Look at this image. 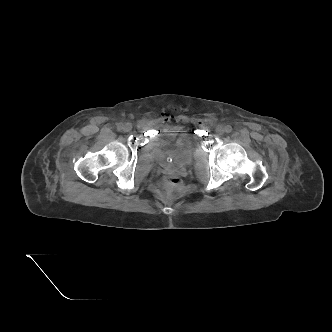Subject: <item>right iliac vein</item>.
Segmentation results:
<instances>
[{"mask_svg":"<svg viewBox=\"0 0 332 332\" xmlns=\"http://www.w3.org/2000/svg\"><path fill=\"white\" fill-rule=\"evenodd\" d=\"M122 129H123V131H125V132H129V131H131V130H132V125H131V123H125V124L123 125Z\"/></svg>","mask_w":332,"mask_h":332,"instance_id":"63e3f726","label":"right iliac vein"}]
</instances>
